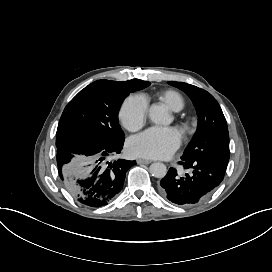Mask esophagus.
Masks as SVG:
<instances>
[{"instance_id": "1", "label": "esophagus", "mask_w": 272, "mask_h": 272, "mask_svg": "<svg viewBox=\"0 0 272 272\" xmlns=\"http://www.w3.org/2000/svg\"><path fill=\"white\" fill-rule=\"evenodd\" d=\"M138 164H150L151 161L147 159H137Z\"/></svg>"}]
</instances>
